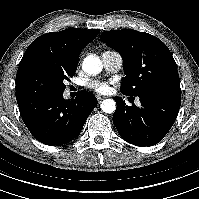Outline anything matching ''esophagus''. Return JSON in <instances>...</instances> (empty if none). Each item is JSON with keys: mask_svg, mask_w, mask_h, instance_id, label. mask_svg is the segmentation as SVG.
Returning <instances> with one entry per match:
<instances>
[{"mask_svg": "<svg viewBox=\"0 0 199 199\" xmlns=\"http://www.w3.org/2000/svg\"><path fill=\"white\" fill-rule=\"evenodd\" d=\"M97 100L100 102L104 99V96L96 95Z\"/></svg>", "mask_w": 199, "mask_h": 199, "instance_id": "obj_1", "label": "esophagus"}]
</instances>
